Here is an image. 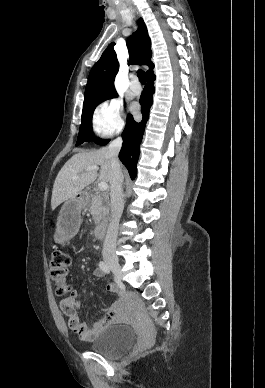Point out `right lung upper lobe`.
Instances as JSON below:
<instances>
[{
	"label": "right lung upper lobe",
	"instance_id": "cb5924a9",
	"mask_svg": "<svg viewBox=\"0 0 265 388\" xmlns=\"http://www.w3.org/2000/svg\"><path fill=\"white\" fill-rule=\"evenodd\" d=\"M126 44L129 51V65L143 63L149 66L147 75L153 72L151 40L142 19L139 20L138 30L127 39ZM113 47L114 43H111L92 67L85 88L84 100L115 89L113 82L119 69V63Z\"/></svg>",
	"mask_w": 265,
	"mask_h": 388
}]
</instances>
